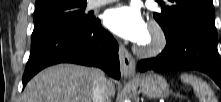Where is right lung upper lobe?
<instances>
[{
    "mask_svg": "<svg viewBox=\"0 0 221 102\" xmlns=\"http://www.w3.org/2000/svg\"><path fill=\"white\" fill-rule=\"evenodd\" d=\"M47 0H36V7H39L41 4L45 3Z\"/></svg>",
    "mask_w": 221,
    "mask_h": 102,
    "instance_id": "cb5924a9",
    "label": "right lung upper lobe"
}]
</instances>
